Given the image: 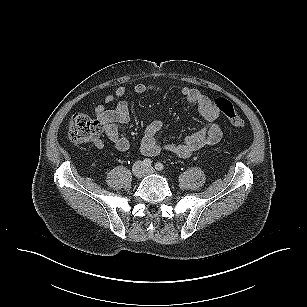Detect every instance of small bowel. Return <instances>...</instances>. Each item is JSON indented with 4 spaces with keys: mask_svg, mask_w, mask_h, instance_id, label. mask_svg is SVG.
Listing matches in <instances>:
<instances>
[{
    "mask_svg": "<svg viewBox=\"0 0 307 307\" xmlns=\"http://www.w3.org/2000/svg\"><path fill=\"white\" fill-rule=\"evenodd\" d=\"M160 87L153 84H137L133 91L136 94L147 92H158ZM127 93L124 86L116 88L114 95H107L104 99L105 104H111L115 98L121 99ZM180 94L186 103L195 107L204 119L203 126L197 131L186 136L182 141L168 143L163 146L157 134L163 129L161 121H153L145 128L144 134L139 143V150L145 156H156L165 147L168 151L178 157L186 158L201 149L210 148L217 145L222 137V130L217 122L220 111L215 106L212 99L198 89L183 86ZM96 118L102 125L104 135L114 143L118 152H126L130 148V141L122 133V128L130 121V108L127 102L120 100L113 109L106 108L105 105H98L95 109ZM98 149L104 147L101 139L93 142Z\"/></svg>",
    "mask_w": 307,
    "mask_h": 307,
    "instance_id": "obj_1",
    "label": "small bowel"
}]
</instances>
